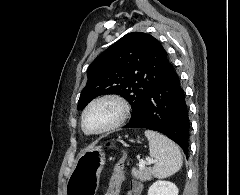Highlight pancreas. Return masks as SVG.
Listing matches in <instances>:
<instances>
[{
  "label": "pancreas",
  "mask_w": 240,
  "mask_h": 195,
  "mask_svg": "<svg viewBox=\"0 0 240 195\" xmlns=\"http://www.w3.org/2000/svg\"><path fill=\"white\" fill-rule=\"evenodd\" d=\"M132 175L140 181H150L152 179V167H143V169H132Z\"/></svg>",
  "instance_id": "1"
}]
</instances>
